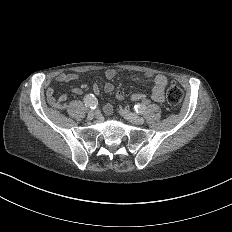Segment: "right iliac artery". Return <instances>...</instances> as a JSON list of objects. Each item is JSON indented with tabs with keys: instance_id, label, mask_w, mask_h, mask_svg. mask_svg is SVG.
<instances>
[{
	"instance_id": "right-iliac-artery-1",
	"label": "right iliac artery",
	"mask_w": 232,
	"mask_h": 232,
	"mask_svg": "<svg viewBox=\"0 0 232 232\" xmlns=\"http://www.w3.org/2000/svg\"><path fill=\"white\" fill-rule=\"evenodd\" d=\"M84 104H85L86 107H89L91 109H95L97 107V105H98V99L92 93L87 94L84 97Z\"/></svg>"
}]
</instances>
